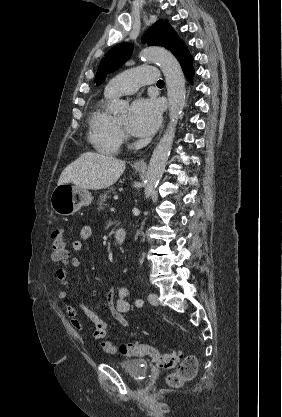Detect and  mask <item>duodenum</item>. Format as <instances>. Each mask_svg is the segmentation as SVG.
Segmentation results:
<instances>
[{
	"instance_id": "410a0bca",
	"label": "duodenum",
	"mask_w": 282,
	"mask_h": 417,
	"mask_svg": "<svg viewBox=\"0 0 282 417\" xmlns=\"http://www.w3.org/2000/svg\"><path fill=\"white\" fill-rule=\"evenodd\" d=\"M126 241V232L123 229H119L114 236V242L116 245H123Z\"/></svg>"
}]
</instances>
